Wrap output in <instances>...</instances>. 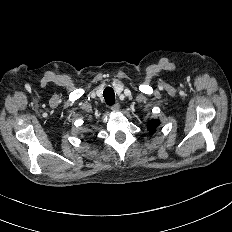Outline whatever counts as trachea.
Here are the masks:
<instances>
[{
  "instance_id": "obj_1",
  "label": "trachea",
  "mask_w": 232,
  "mask_h": 232,
  "mask_svg": "<svg viewBox=\"0 0 232 232\" xmlns=\"http://www.w3.org/2000/svg\"><path fill=\"white\" fill-rule=\"evenodd\" d=\"M103 97L107 105L112 106L115 104L114 90L111 87H106L103 91Z\"/></svg>"
}]
</instances>
